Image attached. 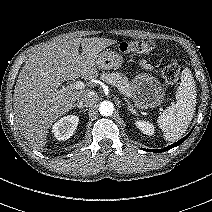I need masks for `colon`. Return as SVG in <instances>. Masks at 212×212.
<instances>
[{
  "label": "colon",
  "mask_w": 212,
  "mask_h": 212,
  "mask_svg": "<svg viewBox=\"0 0 212 212\" xmlns=\"http://www.w3.org/2000/svg\"><path fill=\"white\" fill-rule=\"evenodd\" d=\"M154 44L151 41H130L122 42L119 45V50L123 53H140L149 54L153 51ZM180 72L179 64L176 60H169L163 67L162 76L164 80L173 84L177 81Z\"/></svg>",
  "instance_id": "obj_1"
}]
</instances>
